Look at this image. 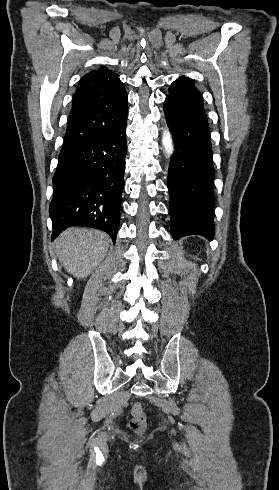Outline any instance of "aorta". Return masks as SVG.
Instances as JSON below:
<instances>
[{
  "label": "aorta",
  "mask_w": 279,
  "mask_h": 490,
  "mask_svg": "<svg viewBox=\"0 0 279 490\" xmlns=\"http://www.w3.org/2000/svg\"><path fill=\"white\" fill-rule=\"evenodd\" d=\"M162 145L165 149V153L170 157L174 153V144L172 135L169 130H164L162 135Z\"/></svg>",
  "instance_id": "762f6f07"
}]
</instances>
